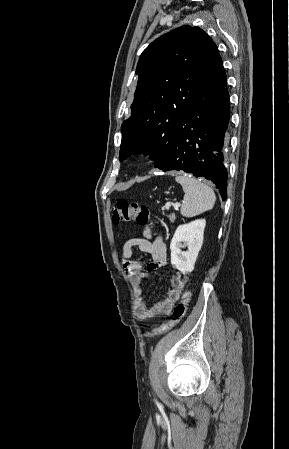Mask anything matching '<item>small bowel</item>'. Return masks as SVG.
<instances>
[{
  "mask_svg": "<svg viewBox=\"0 0 289 449\" xmlns=\"http://www.w3.org/2000/svg\"><path fill=\"white\" fill-rule=\"evenodd\" d=\"M143 227V236L139 238L128 239L122 249V262L131 283L135 287L138 294L135 301L136 317L140 321L150 319L157 315L169 314L175 303L178 301L180 294L187 282V277L180 272H176L171 277L172 289L167 292L166 297L153 304L147 306L143 296L142 281L149 276V272L166 267L168 264L167 247L164 241L158 237L152 239V232L149 224H141ZM134 248L142 252L150 254L152 262L146 268L137 261L132 259Z\"/></svg>",
  "mask_w": 289,
  "mask_h": 449,
  "instance_id": "small-bowel-1",
  "label": "small bowel"
}]
</instances>
